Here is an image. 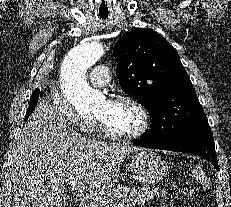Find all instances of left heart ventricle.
Returning <instances> with one entry per match:
<instances>
[{"label":"left heart ventricle","mask_w":231,"mask_h":207,"mask_svg":"<svg viewBox=\"0 0 231 207\" xmlns=\"http://www.w3.org/2000/svg\"><path fill=\"white\" fill-rule=\"evenodd\" d=\"M97 118L116 133L134 132L141 124L138 111L126 103L103 102L98 110Z\"/></svg>","instance_id":"b2bd125f"}]
</instances>
